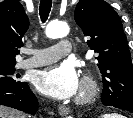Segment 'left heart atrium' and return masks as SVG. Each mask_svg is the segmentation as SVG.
Here are the masks:
<instances>
[{
  "label": "left heart atrium",
  "instance_id": "39dd6f15",
  "mask_svg": "<svg viewBox=\"0 0 133 118\" xmlns=\"http://www.w3.org/2000/svg\"><path fill=\"white\" fill-rule=\"evenodd\" d=\"M37 90L55 99H67L80 90L77 71L70 64L64 63L38 72L35 78Z\"/></svg>",
  "mask_w": 133,
  "mask_h": 118
}]
</instances>
